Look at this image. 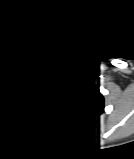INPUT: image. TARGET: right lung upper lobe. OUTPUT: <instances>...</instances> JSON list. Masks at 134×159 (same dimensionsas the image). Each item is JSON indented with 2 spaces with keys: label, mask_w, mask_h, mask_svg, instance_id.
Wrapping results in <instances>:
<instances>
[{
  "label": "right lung upper lobe",
  "mask_w": 134,
  "mask_h": 159,
  "mask_svg": "<svg viewBox=\"0 0 134 159\" xmlns=\"http://www.w3.org/2000/svg\"><path fill=\"white\" fill-rule=\"evenodd\" d=\"M39 92L36 89H30L27 93V96L23 99L22 103L25 106L33 105L39 98Z\"/></svg>",
  "instance_id": "right-lung-upper-lobe-1"
}]
</instances>
